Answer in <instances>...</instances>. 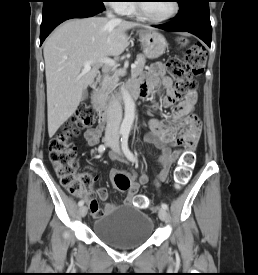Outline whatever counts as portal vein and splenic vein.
<instances>
[{
    "instance_id": "18ae733b",
    "label": "portal vein and splenic vein",
    "mask_w": 258,
    "mask_h": 275,
    "mask_svg": "<svg viewBox=\"0 0 258 275\" xmlns=\"http://www.w3.org/2000/svg\"><path fill=\"white\" fill-rule=\"evenodd\" d=\"M102 62L105 63L106 65L115 67V61L112 59L105 58ZM135 67H136V63L131 65V69ZM90 70H91V61H88L84 64L83 72L86 73V72H89Z\"/></svg>"
}]
</instances>
